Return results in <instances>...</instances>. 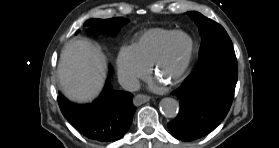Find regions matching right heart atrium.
Returning a JSON list of instances; mask_svg holds the SVG:
<instances>
[{
    "label": "right heart atrium",
    "instance_id": "right-heart-atrium-1",
    "mask_svg": "<svg viewBox=\"0 0 279 148\" xmlns=\"http://www.w3.org/2000/svg\"><path fill=\"white\" fill-rule=\"evenodd\" d=\"M118 76L128 88L136 86L140 79L147 77L149 67L134 53L132 47H123L117 56Z\"/></svg>",
    "mask_w": 279,
    "mask_h": 148
}]
</instances>
